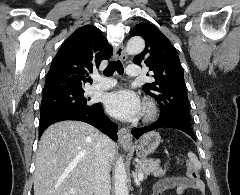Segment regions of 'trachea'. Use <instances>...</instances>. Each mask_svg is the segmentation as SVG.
I'll list each match as a JSON object with an SVG mask.
<instances>
[{
	"mask_svg": "<svg viewBox=\"0 0 240 195\" xmlns=\"http://www.w3.org/2000/svg\"><path fill=\"white\" fill-rule=\"evenodd\" d=\"M115 71H117L120 75H123L124 67L120 60L111 61L109 65H107V68L104 70L103 74L107 77H110Z\"/></svg>",
	"mask_w": 240,
	"mask_h": 195,
	"instance_id": "3493384b",
	"label": "trachea"
}]
</instances>
